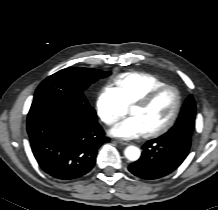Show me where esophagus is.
<instances>
[{
	"instance_id": "obj_1",
	"label": "esophagus",
	"mask_w": 218,
	"mask_h": 210,
	"mask_svg": "<svg viewBox=\"0 0 218 210\" xmlns=\"http://www.w3.org/2000/svg\"><path fill=\"white\" fill-rule=\"evenodd\" d=\"M116 141H117L119 144H121V145H129V144H130L129 141H124V140H122V139H117Z\"/></svg>"
}]
</instances>
